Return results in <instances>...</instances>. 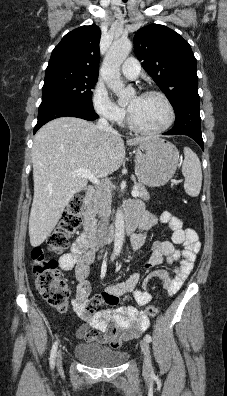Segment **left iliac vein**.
<instances>
[{
  "label": "left iliac vein",
  "instance_id": "4c4485c4",
  "mask_svg": "<svg viewBox=\"0 0 227 396\" xmlns=\"http://www.w3.org/2000/svg\"><path fill=\"white\" fill-rule=\"evenodd\" d=\"M140 346L144 356L143 371L145 373H149L151 370V355H150L149 344L145 339H143L141 340Z\"/></svg>",
  "mask_w": 227,
  "mask_h": 396
}]
</instances>
